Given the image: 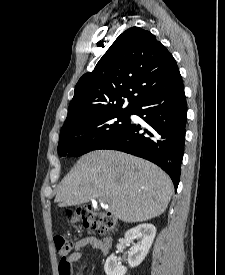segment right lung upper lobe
I'll return each mask as SVG.
<instances>
[{"instance_id":"right-lung-upper-lobe-1","label":"right lung upper lobe","mask_w":225,"mask_h":275,"mask_svg":"<svg viewBox=\"0 0 225 275\" xmlns=\"http://www.w3.org/2000/svg\"><path fill=\"white\" fill-rule=\"evenodd\" d=\"M182 81L172 54L149 31L132 27L123 32L92 72L75 86L63 125L112 110H131L151 94ZM124 98L128 106L121 109Z\"/></svg>"}]
</instances>
